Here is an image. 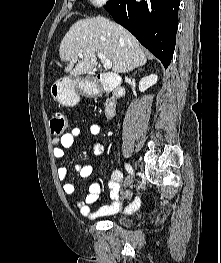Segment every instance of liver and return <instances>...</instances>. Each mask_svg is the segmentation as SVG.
I'll return each mask as SVG.
<instances>
[{
    "label": "liver",
    "mask_w": 221,
    "mask_h": 263,
    "mask_svg": "<svg viewBox=\"0 0 221 263\" xmlns=\"http://www.w3.org/2000/svg\"><path fill=\"white\" fill-rule=\"evenodd\" d=\"M80 50L82 57L78 56ZM98 52L112 62V71L117 74L143 66L147 61L137 39L121 25L102 16L78 20L60 44V58L67 63L65 72L72 75L90 73Z\"/></svg>",
    "instance_id": "6515ba94"
}]
</instances>
